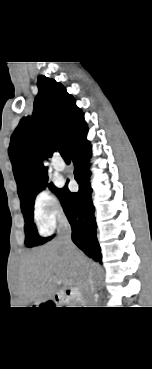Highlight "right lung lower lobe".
Listing matches in <instances>:
<instances>
[{
	"instance_id": "1",
	"label": "right lung lower lobe",
	"mask_w": 152,
	"mask_h": 369,
	"mask_svg": "<svg viewBox=\"0 0 152 369\" xmlns=\"http://www.w3.org/2000/svg\"><path fill=\"white\" fill-rule=\"evenodd\" d=\"M88 131V130H87ZM87 131L81 135L69 148L68 152L74 163L75 179L79 191L71 193L67 184L59 190L58 198L72 227L73 242L90 258L101 263L102 255L96 237V220L94 206L91 200L89 159L91 157Z\"/></svg>"
}]
</instances>
